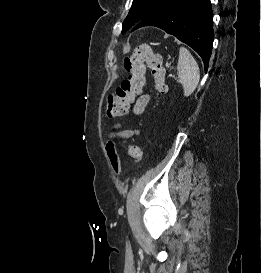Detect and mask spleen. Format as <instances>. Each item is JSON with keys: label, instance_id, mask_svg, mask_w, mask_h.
Here are the masks:
<instances>
[{"label": "spleen", "instance_id": "obj_1", "mask_svg": "<svg viewBox=\"0 0 261 273\" xmlns=\"http://www.w3.org/2000/svg\"><path fill=\"white\" fill-rule=\"evenodd\" d=\"M178 80L183 87L185 97L190 96L198 86L200 71L197 62L185 47L179 49V59L177 64Z\"/></svg>", "mask_w": 261, "mask_h": 273}]
</instances>
